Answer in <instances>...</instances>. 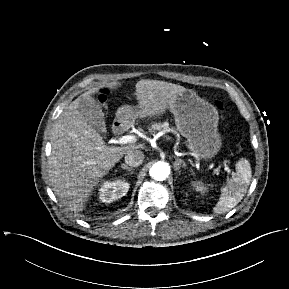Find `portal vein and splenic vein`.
<instances>
[{"instance_id":"obj_1","label":"portal vein and splenic vein","mask_w":289,"mask_h":289,"mask_svg":"<svg viewBox=\"0 0 289 289\" xmlns=\"http://www.w3.org/2000/svg\"><path fill=\"white\" fill-rule=\"evenodd\" d=\"M133 142H136V137L134 135H125V136L120 137L117 140L118 144H127V143H133ZM223 166H224V170L226 171L228 175H231L232 177L235 176V172L232 169H230L228 165H226V163H223Z\"/></svg>"}]
</instances>
